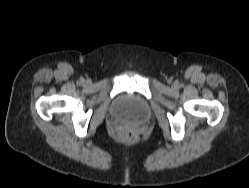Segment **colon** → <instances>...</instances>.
I'll return each instance as SVG.
<instances>
[{
	"instance_id": "colon-1",
	"label": "colon",
	"mask_w": 249,
	"mask_h": 188,
	"mask_svg": "<svg viewBox=\"0 0 249 188\" xmlns=\"http://www.w3.org/2000/svg\"><path fill=\"white\" fill-rule=\"evenodd\" d=\"M122 138L127 142H131L135 139V133L131 130H125L122 133Z\"/></svg>"
}]
</instances>
